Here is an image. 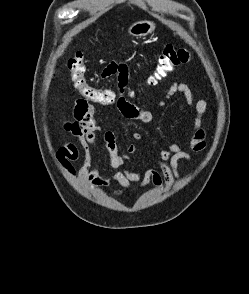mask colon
<instances>
[{"label":"colon","instance_id":"5ec220e1","mask_svg":"<svg viewBox=\"0 0 249 294\" xmlns=\"http://www.w3.org/2000/svg\"><path fill=\"white\" fill-rule=\"evenodd\" d=\"M189 60L190 53L187 49L176 47L171 44L166 45L158 56L155 69L149 78V83L151 85H156L174 72L176 68L186 64ZM126 67L124 63L112 62L103 72L107 75H118L123 72ZM65 68L73 87L82 94L88 102L111 104L116 100V93L112 89L95 88L88 84L84 56L82 53H77L71 57L67 61Z\"/></svg>","mask_w":249,"mask_h":294}]
</instances>
